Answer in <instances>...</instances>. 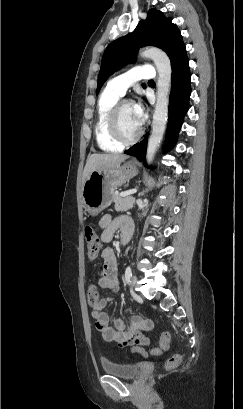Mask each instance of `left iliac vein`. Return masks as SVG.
Here are the masks:
<instances>
[{
  "label": "left iliac vein",
  "mask_w": 243,
  "mask_h": 409,
  "mask_svg": "<svg viewBox=\"0 0 243 409\" xmlns=\"http://www.w3.org/2000/svg\"><path fill=\"white\" fill-rule=\"evenodd\" d=\"M136 283H137V277L133 276L132 279H131V286H135Z\"/></svg>",
  "instance_id": "obj_1"
}]
</instances>
